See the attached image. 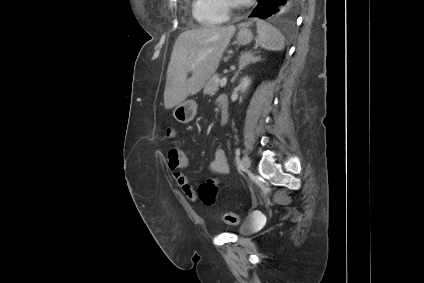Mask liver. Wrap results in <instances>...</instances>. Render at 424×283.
Segmentation results:
<instances>
[{"instance_id":"1","label":"liver","mask_w":424,"mask_h":283,"mask_svg":"<svg viewBox=\"0 0 424 283\" xmlns=\"http://www.w3.org/2000/svg\"><path fill=\"white\" fill-rule=\"evenodd\" d=\"M236 28L189 29L176 39L167 70L164 107L171 109L198 93L215 73ZM188 73L191 76L188 78Z\"/></svg>"}]
</instances>
